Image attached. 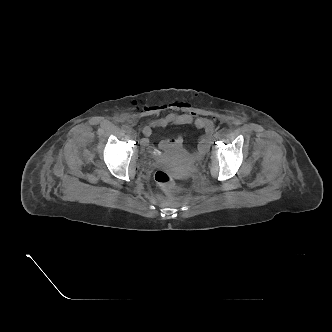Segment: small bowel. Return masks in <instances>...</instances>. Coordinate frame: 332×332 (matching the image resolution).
Wrapping results in <instances>:
<instances>
[{"mask_svg": "<svg viewBox=\"0 0 332 332\" xmlns=\"http://www.w3.org/2000/svg\"><path fill=\"white\" fill-rule=\"evenodd\" d=\"M165 111H169V113L163 117L151 119L148 124L144 126L142 130L144 138L141 140L143 146L149 147L151 153H156V150L150 146V137L154 128H165L172 125H193L203 131V135L198 143V151L203 153L207 150L215 131V123L211 118L196 114L189 109L186 103L182 102L153 105L146 108L145 113L148 116H158ZM182 143V137L177 136L171 140L160 141L159 148L166 150L173 146H180Z\"/></svg>", "mask_w": 332, "mask_h": 332, "instance_id": "1", "label": "small bowel"}]
</instances>
